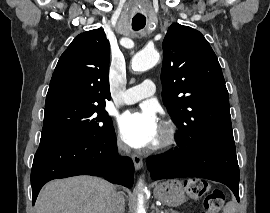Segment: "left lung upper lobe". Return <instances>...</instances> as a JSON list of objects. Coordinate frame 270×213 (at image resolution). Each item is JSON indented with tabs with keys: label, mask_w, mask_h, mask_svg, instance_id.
<instances>
[{
	"label": "left lung upper lobe",
	"mask_w": 270,
	"mask_h": 213,
	"mask_svg": "<svg viewBox=\"0 0 270 213\" xmlns=\"http://www.w3.org/2000/svg\"><path fill=\"white\" fill-rule=\"evenodd\" d=\"M162 99L177 139L233 138L228 91L218 59L197 30L172 24L163 40Z\"/></svg>",
	"instance_id": "5c2ea615"
}]
</instances>
